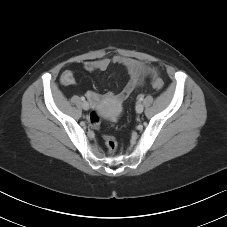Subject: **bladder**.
<instances>
[{"label": "bladder", "instance_id": "31cf9c89", "mask_svg": "<svg viewBox=\"0 0 227 227\" xmlns=\"http://www.w3.org/2000/svg\"><path fill=\"white\" fill-rule=\"evenodd\" d=\"M101 114L103 115V113H101ZM114 116H115V114H113V113L106 114V117H108L109 119L114 118Z\"/></svg>", "mask_w": 227, "mask_h": 227}]
</instances>
